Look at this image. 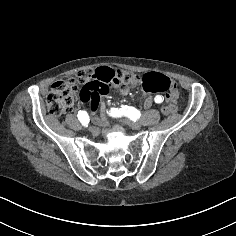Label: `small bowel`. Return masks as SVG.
Returning a JSON list of instances; mask_svg holds the SVG:
<instances>
[{"mask_svg": "<svg viewBox=\"0 0 236 236\" xmlns=\"http://www.w3.org/2000/svg\"><path fill=\"white\" fill-rule=\"evenodd\" d=\"M128 92H129L128 87H123V88L121 89V94H122V95H127ZM162 101H163L162 97H161V100H160V101H156L155 98L149 97V98L146 99L145 104H146L147 106H150V105H152V104H154V103H158V104H159V103H161ZM105 111H106V106H105V103L102 102L101 105H100V112H101V115H102L103 117H106Z\"/></svg>", "mask_w": 236, "mask_h": 236, "instance_id": "c3829d8e", "label": "small bowel"}]
</instances>
